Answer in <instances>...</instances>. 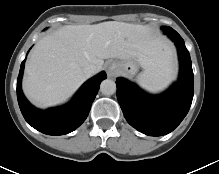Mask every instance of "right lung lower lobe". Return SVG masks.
Returning <instances> with one entry per match:
<instances>
[{
  "instance_id": "obj_1",
  "label": "right lung lower lobe",
  "mask_w": 219,
  "mask_h": 174,
  "mask_svg": "<svg viewBox=\"0 0 219 174\" xmlns=\"http://www.w3.org/2000/svg\"><path fill=\"white\" fill-rule=\"evenodd\" d=\"M24 62L25 60L21 63L17 79V99L27 123L47 135H64L78 128L87 118L99 85L106 78V73L101 72L84 83L68 104L43 111L32 106L22 92Z\"/></svg>"
}]
</instances>
